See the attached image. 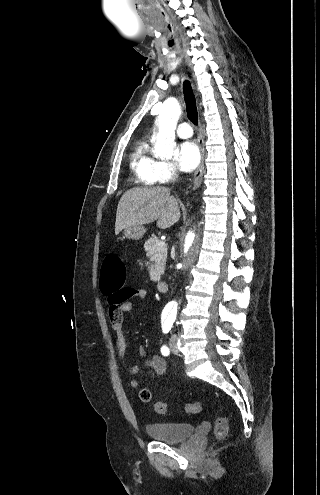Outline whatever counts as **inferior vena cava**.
<instances>
[{
    "label": "inferior vena cava",
    "instance_id": "602c4592",
    "mask_svg": "<svg viewBox=\"0 0 320 495\" xmlns=\"http://www.w3.org/2000/svg\"><path fill=\"white\" fill-rule=\"evenodd\" d=\"M177 178H178V174H175L172 178V181L175 182Z\"/></svg>",
    "mask_w": 320,
    "mask_h": 495
}]
</instances>
